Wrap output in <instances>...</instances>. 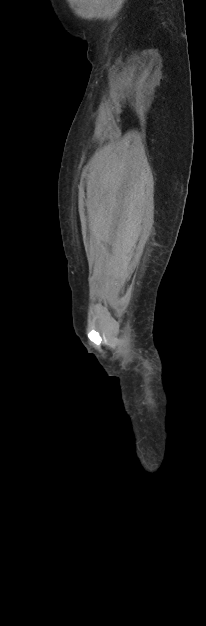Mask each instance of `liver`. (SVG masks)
I'll list each match as a JSON object with an SVG mask.
<instances>
[{"instance_id":"1","label":"liver","mask_w":206,"mask_h":626,"mask_svg":"<svg viewBox=\"0 0 206 626\" xmlns=\"http://www.w3.org/2000/svg\"><path fill=\"white\" fill-rule=\"evenodd\" d=\"M89 215H90V217H91V219H92L93 221H95V220H96V219H95V213H94L93 211L89 210Z\"/></svg>"}]
</instances>
